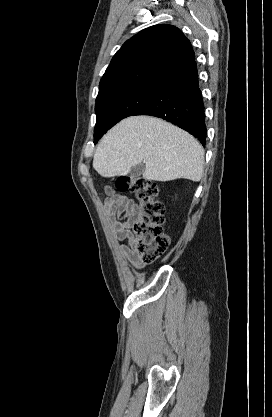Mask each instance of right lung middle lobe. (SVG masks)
I'll list each match as a JSON object with an SVG mask.
<instances>
[{
    "label": "right lung middle lobe",
    "mask_w": 272,
    "mask_h": 417,
    "mask_svg": "<svg viewBox=\"0 0 272 417\" xmlns=\"http://www.w3.org/2000/svg\"><path fill=\"white\" fill-rule=\"evenodd\" d=\"M161 86H138L117 91L97 100L95 112L97 121L94 129V143L118 121L134 115L159 90Z\"/></svg>",
    "instance_id": "right-lung-middle-lobe-1"
}]
</instances>
